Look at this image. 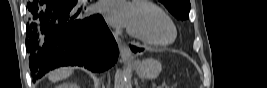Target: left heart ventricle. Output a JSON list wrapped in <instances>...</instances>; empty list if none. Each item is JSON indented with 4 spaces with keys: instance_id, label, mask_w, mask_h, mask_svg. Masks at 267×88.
Here are the masks:
<instances>
[{
    "instance_id": "1",
    "label": "left heart ventricle",
    "mask_w": 267,
    "mask_h": 88,
    "mask_svg": "<svg viewBox=\"0 0 267 88\" xmlns=\"http://www.w3.org/2000/svg\"><path fill=\"white\" fill-rule=\"evenodd\" d=\"M128 27L152 41H169L173 37V28L168 19L146 6L132 5L131 21Z\"/></svg>"
}]
</instances>
